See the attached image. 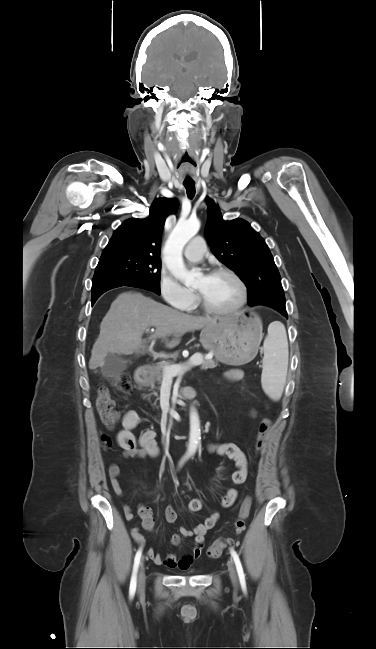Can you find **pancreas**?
I'll list each match as a JSON object with an SVG mask.
<instances>
[{"label": "pancreas", "instance_id": "1", "mask_svg": "<svg viewBox=\"0 0 376 649\" xmlns=\"http://www.w3.org/2000/svg\"><path fill=\"white\" fill-rule=\"evenodd\" d=\"M170 365H175L174 362H160L159 364L153 366L150 368V376H149V381L150 383H161L163 381V370L164 367L170 366ZM217 366V362H215L212 359H206L202 361L201 364V369L206 370L208 368H215Z\"/></svg>", "mask_w": 376, "mask_h": 649}]
</instances>
